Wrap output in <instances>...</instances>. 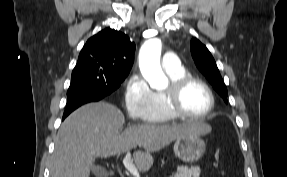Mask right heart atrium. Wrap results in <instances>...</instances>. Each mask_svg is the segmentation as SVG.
<instances>
[{"label":"right heart atrium","mask_w":287,"mask_h":177,"mask_svg":"<svg viewBox=\"0 0 287 177\" xmlns=\"http://www.w3.org/2000/svg\"><path fill=\"white\" fill-rule=\"evenodd\" d=\"M124 105L135 123L149 120L153 107V92L140 75H132L124 88Z\"/></svg>","instance_id":"obj_1"}]
</instances>
